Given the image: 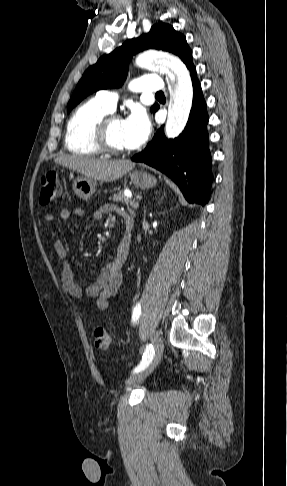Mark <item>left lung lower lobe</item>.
Segmentation results:
<instances>
[{"label":"left lung lower lobe","instance_id":"left-lung-lower-lobe-1","mask_svg":"<svg viewBox=\"0 0 287 486\" xmlns=\"http://www.w3.org/2000/svg\"><path fill=\"white\" fill-rule=\"evenodd\" d=\"M193 85V102L184 131L167 139L162 126L148 146L132 157L169 176L190 203L204 205L211 191V156L209 151L208 114L192 57L185 63Z\"/></svg>","mask_w":287,"mask_h":486}]
</instances>
